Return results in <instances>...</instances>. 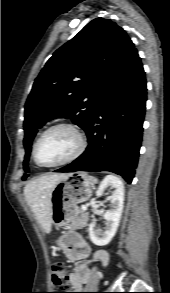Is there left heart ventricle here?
<instances>
[{
	"instance_id": "b2bd125f",
	"label": "left heart ventricle",
	"mask_w": 170,
	"mask_h": 293,
	"mask_svg": "<svg viewBox=\"0 0 170 293\" xmlns=\"http://www.w3.org/2000/svg\"><path fill=\"white\" fill-rule=\"evenodd\" d=\"M77 147L78 138L71 130L56 128L48 132L40 141L37 157L43 164H53L71 156Z\"/></svg>"
}]
</instances>
